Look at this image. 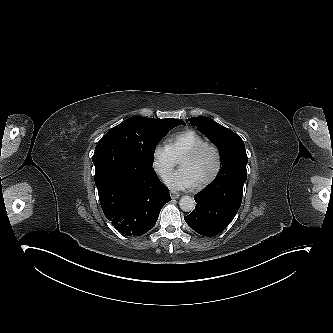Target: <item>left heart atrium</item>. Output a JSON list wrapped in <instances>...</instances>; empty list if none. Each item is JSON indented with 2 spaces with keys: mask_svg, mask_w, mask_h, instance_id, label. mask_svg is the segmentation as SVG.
I'll return each mask as SVG.
<instances>
[{
  "mask_svg": "<svg viewBox=\"0 0 333 333\" xmlns=\"http://www.w3.org/2000/svg\"><path fill=\"white\" fill-rule=\"evenodd\" d=\"M168 187L175 190L190 188L194 185V181L184 168L179 169L165 179Z\"/></svg>",
  "mask_w": 333,
  "mask_h": 333,
  "instance_id": "obj_1",
  "label": "left heart atrium"
}]
</instances>
